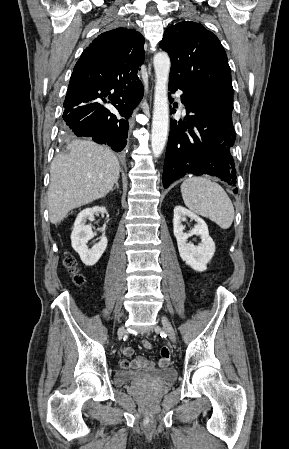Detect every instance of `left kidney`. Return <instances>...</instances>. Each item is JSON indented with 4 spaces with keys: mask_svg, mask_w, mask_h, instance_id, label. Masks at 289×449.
<instances>
[{
    "mask_svg": "<svg viewBox=\"0 0 289 449\" xmlns=\"http://www.w3.org/2000/svg\"><path fill=\"white\" fill-rule=\"evenodd\" d=\"M187 217L194 220L196 225L189 233H184L185 227L182 222L186 221ZM173 232L181 259L195 271H205L215 253V243L209 236L205 221L183 206H176L174 208ZM193 235L199 236L201 239L197 246L187 242L188 238Z\"/></svg>",
    "mask_w": 289,
    "mask_h": 449,
    "instance_id": "obj_1",
    "label": "left kidney"
}]
</instances>
